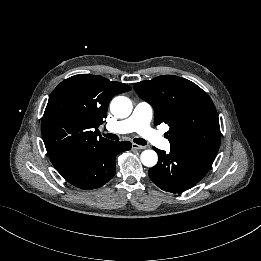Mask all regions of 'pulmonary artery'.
I'll list each match as a JSON object with an SVG mask.
<instances>
[{
    "mask_svg": "<svg viewBox=\"0 0 261 261\" xmlns=\"http://www.w3.org/2000/svg\"><path fill=\"white\" fill-rule=\"evenodd\" d=\"M152 118L153 111L151 106L145 102H141L136 106L129 118L114 124L111 127V131L116 133L135 131L155 146L164 150L170 149V143L166 138H159L154 135L150 126Z\"/></svg>",
    "mask_w": 261,
    "mask_h": 261,
    "instance_id": "1",
    "label": "pulmonary artery"
}]
</instances>
